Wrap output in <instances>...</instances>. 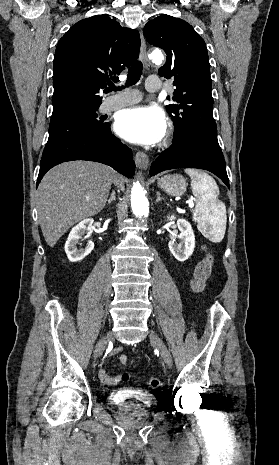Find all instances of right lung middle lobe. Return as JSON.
<instances>
[{"instance_id":"right-lung-middle-lobe-1","label":"right lung middle lobe","mask_w":279,"mask_h":465,"mask_svg":"<svg viewBox=\"0 0 279 465\" xmlns=\"http://www.w3.org/2000/svg\"><path fill=\"white\" fill-rule=\"evenodd\" d=\"M97 109L77 115L59 124L50 125L49 138L42 157L77 137L96 135L109 129V123H104L102 119L97 118Z\"/></svg>"}]
</instances>
